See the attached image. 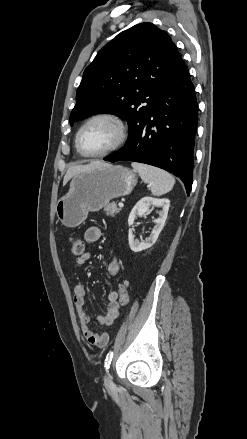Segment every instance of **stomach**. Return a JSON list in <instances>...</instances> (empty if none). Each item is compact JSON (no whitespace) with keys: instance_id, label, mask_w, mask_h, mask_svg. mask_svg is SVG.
<instances>
[{"instance_id":"1","label":"stomach","mask_w":247,"mask_h":439,"mask_svg":"<svg viewBox=\"0 0 247 439\" xmlns=\"http://www.w3.org/2000/svg\"><path fill=\"white\" fill-rule=\"evenodd\" d=\"M137 184L136 173L121 165H107L75 175L68 193L56 205V214L67 227L80 225L88 212H96L110 200L128 195Z\"/></svg>"}]
</instances>
